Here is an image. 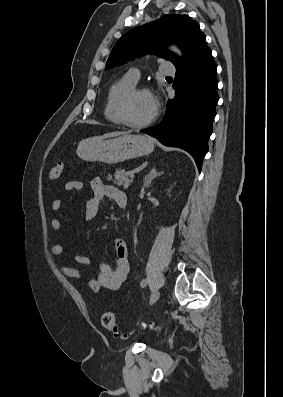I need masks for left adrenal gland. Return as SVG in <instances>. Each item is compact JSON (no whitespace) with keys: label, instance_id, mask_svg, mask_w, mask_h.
<instances>
[{"label":"left adrenal gland","instance_id":"a2214340","mask_svg":"<svg viewBox=\"0 0 283 397\" xmlns=\"http://www.w3.org/2000/svg\"><path fill=\"white\" fill-rule=\"evenodd\" d=\"M162 174H163V172L157 173V172H156V169H155V167H154V168L150 171V173L144 177V187H145V188H148V187L151 185L152 181H153L156 177H158V176H160V175H162Z\"/></svg>","mask_w":283,"mask_h":397}]
</instances>
